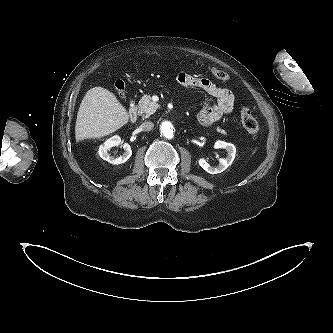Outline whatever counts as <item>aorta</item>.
Returning a JSON list of instances; mask_svg holds the SVG:
<instances>
[{
  "instance_id": "762f6f07",
  "label": "aorta",
  "mask_w": 333,
  "mask_h": 333,
  "mask_svg": "<svg viewBox=\"0 0 333 333\" xmlns=\"http://www.w3.org/2000/svg\"><path fill=\"white\" fill-rule=\"evenodd\" d=\"M161 132L166 138L173 137V126L170 122H163L161 125Z\"/></svg>"
}]
</instances>
